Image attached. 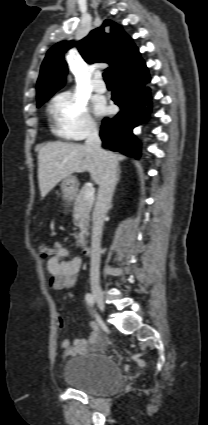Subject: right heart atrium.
Here are the masks:
<instances>
[{"label":"right heart atrium","mask_w":208,"mask_h":425,"mask_svg":"<svg viewBox=\"0 0 208 425\" xmlns=\"http://www.w3.org/2000/svg\"><path fill=\"white\" fill-rule=\"evenodd\" d=\"M50 110L56 131L69 139L82 140L97 132L87 102L71 92L54 97Z\"/></svg>","instance_id":"1"}]
</instances>
